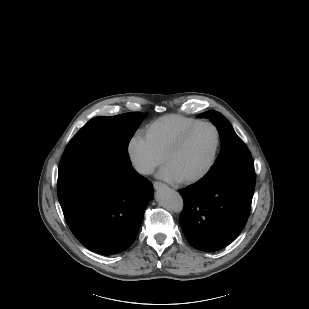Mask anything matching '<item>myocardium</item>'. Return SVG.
Segmentation results:
<instances>
[{
	"mask_svg": "<svg viewBox=\"0 0 309 309\" xmlns=\"http://www.w3.org/2000/svg\"><path fill=\"white\" fill-rule=\"evenodd\" d=\"M201 126H210L214 129L215 134H216L215 147H214L212 156H211L208 164L206 165V167L201 172H199L198 174H196L192 177L182 179L181 182L184 183V184H192V183L200 181L205 176H207L210 173V171L213 169L215 162H216V159H217V156H218L220 144H221V132H220L219 127L211 121L200 120V121L196 122L195 124H193L192 126L187 128L184 132H182L174 140V142L171 144V146L169 147V149L166 152L165 157H164L165 162L167 163L170 160V158L183 146V144L187 141V139L190 137V135L197 128H199Z\"/></svg>",
	"mask_w": 309,
	"mask_h": 309,
	"instance_id": "myocardium-1",
	"label": "myocardium"
}]
</instances>
